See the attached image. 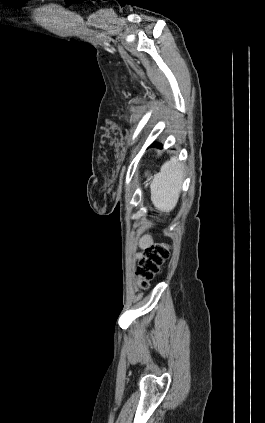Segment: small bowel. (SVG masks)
<instances>
[{
  "instance_id": "c3829d8e",
  "label": "small bowel",
  "mask_w": 265,
  "mask_h": 423,
  "mask_svg": "<svg viewBox=\"0 0 265 423\" xmlns=\"http://www.w3.org/2000/svg\"><path fill=\"white\" fill-rule=\"evenodd\" d=\"M152 243H153V238L151 235L144 236L141 242L143 248L149 247ZM140 257L141 255H138V258Z\"/></svg>"
}]
</instances>
